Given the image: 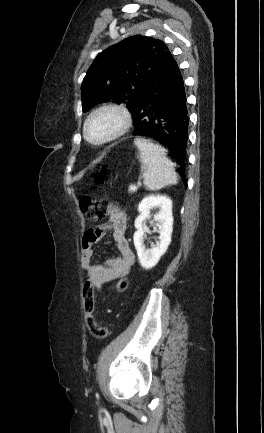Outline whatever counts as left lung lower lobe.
Instances as JSON below:
<instances>
[{"instance_id": "obj_1", "label": "left lung lower lobe", "mask_w": 264, "mask_h": 433, "mask_svg": "<svg viewBox=\"0 0 264 433\" xmlns=\"http://www.w3.org/2000/svg\"><path fill=\"white\" fill-rule=\"evenodd\" d=\"M135 136L158 141L170 151L186 184L185 158L189 117L183 77L174 58L141 92L132 109Z\"/></svg>"}]
</instances>
